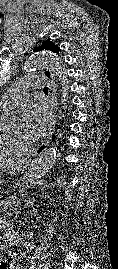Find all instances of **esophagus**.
<instances>
[{"mask_svg":"<svg viewBox=\"0 0 118 269\" xmlns=\"http://www.w3.org/2000/svg\"><path fill=\"white\" fill-rule=\"evenodd\" d=\"M42 74L44 78L46 79L48 83V87H49L48 92H49V97L51 101V112H50L51 118H50V124L48 128V134L46 138L44 139V141L34 150V152L32 153V156H39L45 151L48 143L51 140V137L55 129V124H56L58 100H57V95H56L54 76L50 70H44Z\"/></svg>","mask_w":118,"mask_h":269,"instance_id":"esophagus-1","label":"esophagus"}]
</instances>
